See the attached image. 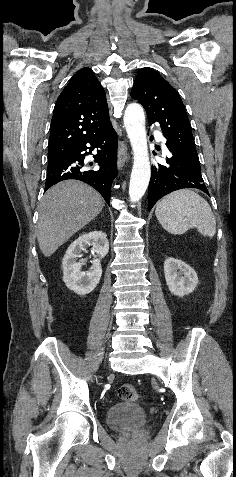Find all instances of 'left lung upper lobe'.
Returning <instances> with one entry per match:
<instances>
[{
	"label": "left lung upper lobe",
	"instance_id": "5c2ea615",
	"mask_svg": "<svg viewBox=\"0 0 236 477\" xmlns=\"http://www.w3.org/2000/svg\"><path fill=\"white\" fill-rule=\"evenodd\" d=\"M131 97L145 108L149 124H160L167 146L198 158L180 95L157 71L149 67L141 69L134 82Z\"/></svg>",
	"mask_w": 236,
	"mask_h": 477
}]
</instances>
